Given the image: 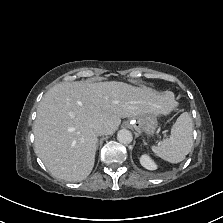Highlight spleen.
<instances>
[{"mask_svg":"<svg viewBox=\"0 0 223 223\" xmlns=\"http://www.w3.org/2000/svg\"><path fill=\"white\" fill-rule=\"evenodd\" d=\"M193 121L188 112L182 113L172 126L169 138L151 147L161 159L170 163L183 161L193 148Z\"/></svg>","mask_w":223,"mask_h":223,"instance_id":"spleen-1","label":"spleen"}]
</instances>
